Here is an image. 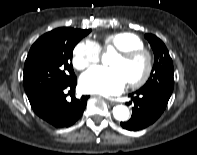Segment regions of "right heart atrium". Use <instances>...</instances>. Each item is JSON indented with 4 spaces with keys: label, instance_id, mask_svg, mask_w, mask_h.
Segmentation results:
<instances>
[{
    "label": "right heart atrium",
    "instance_id": "1",
    "mask_svg": "<svg viewBox=\"0 0 197 155\" xmlns=\"http://www.w3.org/2000/svg\"><path fill=\"white\" fill-rule=\"evenodd\" d=\"M100 58L99 44L92 40H83L73 50L72 64L77 70H84L99 62Z\"/></svg>",
    "mask_w": 197,
    "mask_h": 155
}]
</instances>
